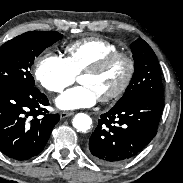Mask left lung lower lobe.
I'll return each mask as SVG.
<instances>
[{"label": "left lung lower lobe", "mask_w": 183, "mask_h": 183, "mask_svg": "<svg viewBox=\"0 0 183 183\" xmlns=\"http://www.w3.org/2000/svg\"><path fill=\"white\" fill-rule=\"evenodd\" d=\"M163 104V97H137L102 114L89 140L92 159L114 166L136 156L155 137Z\"/></svg>", "instance_id": "obj_1"}]
</instances>
